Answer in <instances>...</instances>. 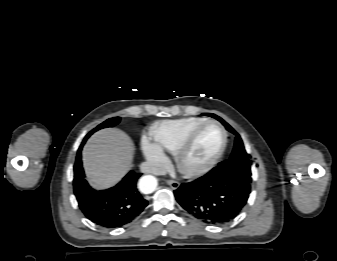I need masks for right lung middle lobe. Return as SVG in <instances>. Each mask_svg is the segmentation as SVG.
<instances>
[{
	"label": "right lung middle lobe",
	"mask_w": 337,
	"mask_h": 261,
	"mask_svg": "<svg viewBox=\"0 0 337 261\" xmlns=\"http://www.w3.org/2000/svg\"><path fill=\"white\" fill-rule=\"evenodd\" d=\"M119 121H120L119 117H114V118H110V119L106 120L102 124L98 125L95 129H93L90 133H88L86 135V137L84 138V141H86L89 138V136L91 134H93L94 132H96L97 130H100V129L106 128V127H113V126L117 125L119 123Z\"/></svg>",
	"instance_id": "obj_1"
}]
</instances>
